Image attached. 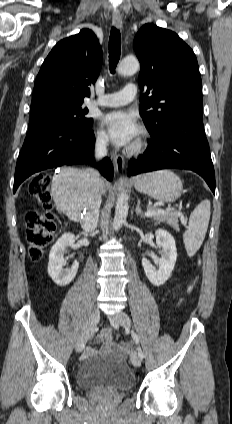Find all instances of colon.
Instances as JSON below:
<instances>
[{"mask_svg":"<svg viewBox=\"0 0 232 424\" xmlns=\"http://www.w3.org/2000/svg\"><path fill=\"white\" fill-rule=\"evenodd\" d=\"M29 190L32 197L41 203L44 212L29 210L25 215L26 239L29 245V256L32 260H40L44 249L52 242L55 224L50 209V194L43 178H35L30 182ZM117 346L122 352H127L129 344L123 339L117 340Z\"/></svg>","mask_w":232,"mask_h":424,"instance_id":"obj_1","label":"colon"}]
</instances>
